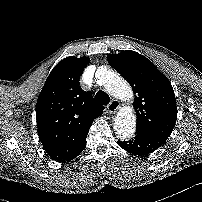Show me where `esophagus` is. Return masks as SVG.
<instances>
[{"instance_id": "1", "label": "esophagus", "mask_w": 202, "mask_h": 202, "mask_svg": "<svg viewBox=\"0 0 202 202\" xmlns=\"http://www.w3.org/2000/svg\"><path fill=\"white\" fill-rule=\"evenodd\" d=\"M120 108V103L116 100H113L108 106H107V112L110 114L116 113Z\"/></svg>"}]
</instances>
